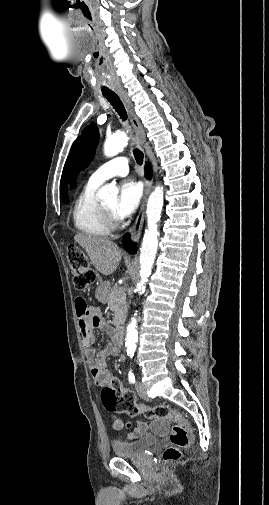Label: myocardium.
<instances>
[{"mask_svg":"<svg viewBox=\"0 0 269 505\" xmlns=\"http://www.w3.org/2000/svg\"><path fill=\"white\" fill-rule=\"evenodd\" d=\"M101 206L109 227L116 228L119 225V220L115 214L112 211L108 210L104 205Z\"/></svg>","mask_w":269,"mask_h":505,"instance_id":"f54148a6","label":"myocardium"}]
</instances>
